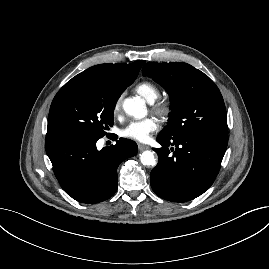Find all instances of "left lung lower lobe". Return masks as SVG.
<instances>
[{"label":"left lung lower lobe","mask_w":269,"mask_h":269,"mask_svg":"<svg viewBox=\"0 0 269 269\" xmlns=\"http://www.w3.org/2000/svg\"><path fill=\"white\" fill-rule=\"evenodd\" d=\"M159 162L150 174L153 191L172 202H186L203 194L214 182L225 154L228 136L193 133L173 140L157 137ZM173 153H170L169 146Z\"/></svg>","instance_id":"obj_1"}]
</instances>
